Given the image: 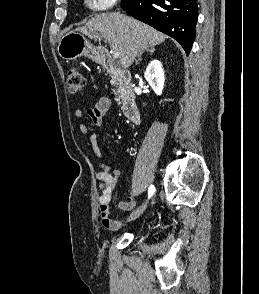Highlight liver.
I'll list each match as a JSON object with an SVG mask.
<instances>
[{
	"label": "liver",
	"mask_w": 259,
	"mask_h": 294,
	"mask_svg": "<svg viewBox=\"0 0 259 294\" xmlns=\"http://www.w3.org/2000/svg\"><path fill=\"white\" fill-rule=\"evenodd\" d=\"M79 32L92 38L98 36L116 48L122 68L130 67L138 53L165 41L167 36L132 17L121 13H102L92 17Z\"/></svg>",
	"instance_id": "liver-1"
}]
</instances>
